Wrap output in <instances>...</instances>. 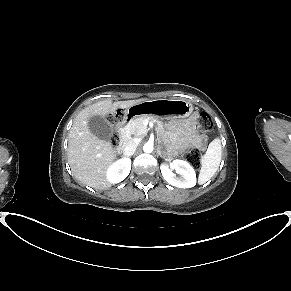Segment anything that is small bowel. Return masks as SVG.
<instances>
[{
  "label": "small bowel",
  "mask_w": 291,
  "mask_h": 291,
  "mask_svg": "<svg viewBox=\"0 0 291 291\" xmlns=\"http://www.w3.org/2000/svg\"><path fill=\"white\" fill-rule=\"evenodd\" d=\"M188 120L174 122L170 126L176 128L181 133V146H188L197 141L193 131V122L197 120L198 115L196 112L191 111L187 115Z\"/></svg>",
  "instance_id": "obj_1"
}]
</instances>
